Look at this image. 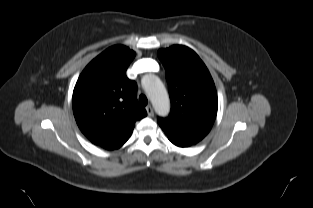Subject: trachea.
I'll use <instances>...</instances> for the list:
<instances>
[{
    "label": "trachea",
    "mask_w": 313,
    "mask_h": 208,
    "mask_svg": "<svg viewBox=\"0 0 313 208\" xmlns=\"http://www.w3.org/2000/svg\"><path fill=\"white\" fill-rule=\"evenodd\" d=\"M139 102L142 106H146L148 104V99L145 95H140Z\"/></svg>",
    "instance_id": "obj_1"
}]
</instances>
